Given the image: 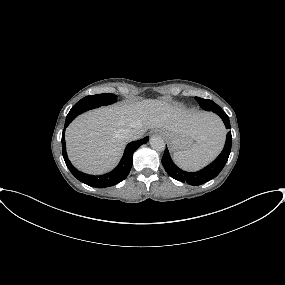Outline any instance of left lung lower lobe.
Returning a JSON list of instances; mask_svg holds the SVG:
<instances>
[{"label": "left lung lower lobe", "mask_w": 285, "mask_h": 285, "mask_svg": "<svg viewBox=\"0 0 285 285\" xmlns=\"http://www.w3.org/2000/svg\"><path fill=\"white\" fill-rule=\"evenodd\" d=\"M214 113H216L222 118L226 128L229 129L230 122H229V118L226 115V113L221 108L216 109ZM231 142H232L231 132H228L225 146L221 154L211 164H209L204 169L198 172H186L178 168L171 160V157H170V154L167 148L162 157V164L166 172L172 178L178 181H181V182H186L193 186H198V185L204 184L207 181L215 178L221 172V170L224 168L228 160V157L231 151Z\"/></svg>", "instance_id": "0a47b994"}]
</instances>
